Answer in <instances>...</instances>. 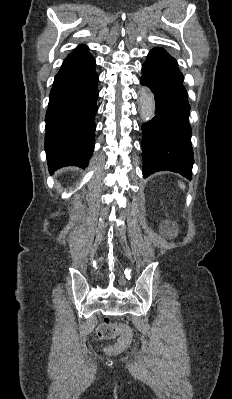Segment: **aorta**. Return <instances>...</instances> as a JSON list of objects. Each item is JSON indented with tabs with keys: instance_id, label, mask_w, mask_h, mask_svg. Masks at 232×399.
<instances>
[{
	"instance_id": "obj_1",
	"label": "aorta",
	"mask_w": 232,
	"mask_h": 399,
	"mask_svg": "<svg viewBox=\"0 0 232 399\" xmlns=\"http://www.w3.org/2000/svg\"><path fill=\"white\" fill-rule=\"evenodd\" d=\"M140 115L146 122L150 121L155 115V100L151 90L142 87L139 93Z\"/></svg>"
}]
</instances>
